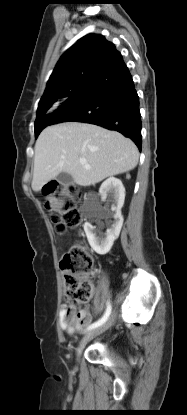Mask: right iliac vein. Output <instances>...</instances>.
<instances>
[{
	"label": "right iliac vein",
	"instance_id": "1",
	"mask_svg": "<svg viewBox=\"0 0 187 415\" xmlns=\"http://www.w3.org/2000/svg\"><path fill=\"white\" fill-rule=\"evenodd\" d=\"M114 320H115V313H113L104 324H102L101 326H99V327H97V328H95L93 330H90L89 332H87L84 335V337L82 338V340H81V342H80V344H79V346H78V348L76 350L77 359L80 358V356L82 354V351H83L85 345L90 340H92L96 336H98L101 333H103L104 331H106L113 324Z\"/></svg>",
	"mask_w": 187,
	"mask_h": 415
}]
</instances>
